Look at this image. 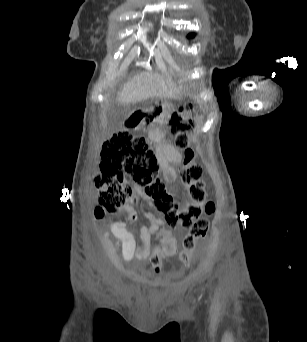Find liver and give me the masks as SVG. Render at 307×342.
<instances>
[{
    "instance_id": "6515ba94",
    "label": "liver",
    "mask_w": 307,
    "mask_h": 342,
    "mask_svg": "<svg viewBox=\"0 0 307 342\" xmlns=\"http://www.w3.org/2000/svg\"><path fill=\"white\" fill-rule=\"evenodd\" d=\"M179 94V88L175 84H167L161 74L140 72L124 84L117 98L122 104H133L149 98H178Z\"/></svg>"
}]
</instances>
